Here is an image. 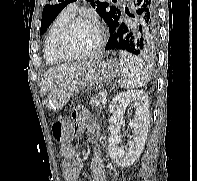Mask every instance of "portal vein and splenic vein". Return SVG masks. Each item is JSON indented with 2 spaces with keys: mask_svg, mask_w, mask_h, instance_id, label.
Masks as SVG:
<instances>
[{
  "mask_svg": "<svg viewBox=\"0 0 197 181\" xmlns=\"http://www.w3.org/2000/svg\"><path fill=\"white\" fill-rule=\"evenodd\" d=\"M106 101H107L106 97L105 96H102L101 97V103H106Z\"/></svg>",
  "mask_w": 197,
  "mask_h": 181,
  "instance_id": "18ae733b",
  "label": "portal vein and splenic vein"
}]
</instances>
